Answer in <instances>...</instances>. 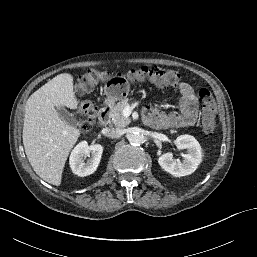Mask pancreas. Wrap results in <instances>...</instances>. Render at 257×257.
Here are the masks:
<instances>
[{
    "label": "pancreas",
    "instance_id": "pancreas-1",
    "mask_svg": "<svg viewBox=\"0 0 257 257\" xmlns=\"http://www.w3.org/2000/svg\"><path fill=\"white\" fill-rule=\"evenodd\" d=\"M126 106H130L128 99L118 102L111 110V118L114 125L118 128L126 127L130 124V118L123 115V110Z\"/></svg>",
    "mask_w": 257,
    "mask_h": 257
}]
</instances>
